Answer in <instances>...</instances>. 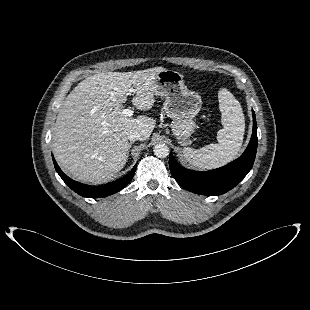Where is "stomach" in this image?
I'll return each instance as SVG.
<instances>
[{
	"mask_svg": "<svg viewBox=\"0 0 310 310\" xmlns=\"http://www.w3.org/2000/svg\"><path fill=\"white\" fill-rule=\"evenodd\" d=\"M155 94L165 98L163 109L173 119V135L186 145L196 128L193 119L201 109V96L187 88L181 73L169 69L158 73Z\"/></svg>",
	"mask_w": 310,
	"mask_h": 310,
	"instance_id": "0dacf381",
	"label": "stomach"
}]
</instances>
